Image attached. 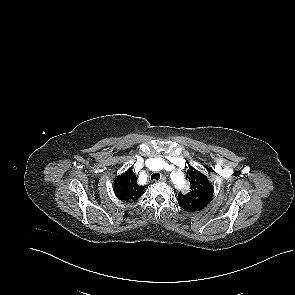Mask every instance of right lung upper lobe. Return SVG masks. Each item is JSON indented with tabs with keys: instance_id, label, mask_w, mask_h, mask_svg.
Returning a JSON list of instances; mask_svg holds the SVG:
<instances>
[{
	"instance_id": "obj_1",
	"label": "right lung upper lobe",
	"mask_w": 295,
	"mask_h": 295,
	"mask_svg": "<svg viewBox=\"0 0 295 295\" xmlns=\"http://www.w3.org/2000/svg\"><path fill=\"white\" fill-rule=\"evenodd\" d=\"M145 188L137 184V179L132 171L128 169L114 182V192L121 200H136L144 192Z\"/></svg>"
}]
</instances>
